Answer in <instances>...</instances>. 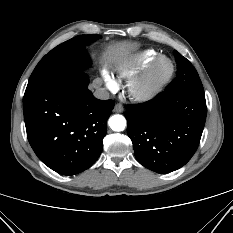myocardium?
I'll use <instances>...</instances> for the list:
<instances>
[{"label":"myocardium","instance_id":"myocardium-1","mask_svg":"<svg viewBox=\"0 0 233 233\" xmlns=\"http://www.w3.org/2000/svg\"><path fill=\"white\" fill-rule=\"evenodd\" d=\"M169 63L168 72L156 77V72L162 61ZM175 67L173 61L165 55L158 56L142 75L133 78L129 85L128 91L130 96L140 102L148 101L154 98L170 82L173 77Z\"/></svg>","mask_w":233,"mask_h":233}]
</instances>
